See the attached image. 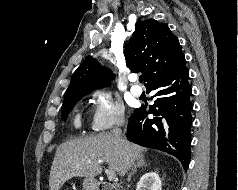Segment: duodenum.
<instances>
[{
  "instance_id": "410a0bca",
  "label": "duodenum",
  "mask_w": 238,
  "mask_h": 190,
  "mask_svg": "<svg viewBox=\"0 0 238 190\" xmlns=\"http://www.w3.org/2000/svg\"><path fill=\"white\" fill-rule=\"evenodd\" d=\"M94 190H117V189L111 184L97 182L94 184Z\"/></svg>"
}]
</instances>
